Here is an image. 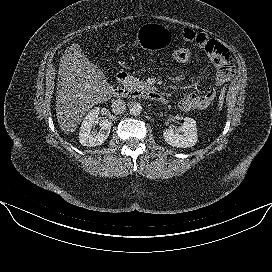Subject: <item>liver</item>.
Wrapping results in <instances>:
<instances>
[{
    "label": "liver",
    "instance_id": "1",
    "mask_svg": "<svg viewBox=\"0 0 272 272\" xmlns=\"http://www.w3.org/2000/svg\"><path fill=\"white\" fill-rule=\"evenodd\" d=\"M112 93L113 87L103 71L86 58L78 44L65 50L56 91L57 122L65 134L75 132L83 116L94 105L107 101Z\"/></svg>",
    "mask_w": 272,
    "mask_h": 272
}]
</instances>
